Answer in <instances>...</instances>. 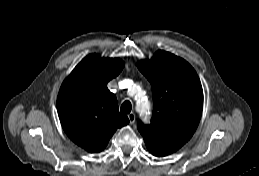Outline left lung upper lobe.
<instances>
[{"label":"left lung upper lobe","mask_w":259,"mask_h":176,"mask_svg":"<svg viewBox=\"0 0 259 176\" xmlns=\"http://www.w3.org/2000/svg\"><path fill=\"white\" fill-rule=\"evenodd\" d=\"M152 86L154 110L150 125L138 121L146 147L155 156L169 155L194 134L202 114L203 90L193 67L166 51L137 63Z\"/></svg>","instance_id":"left-lung-upper-lobe-1"}]
</instances>
